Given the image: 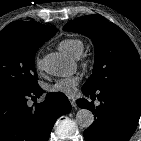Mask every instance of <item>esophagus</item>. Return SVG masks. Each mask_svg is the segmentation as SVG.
Masks as SVG:
<instances>
[{
	"instance_id": "obj_1",
	"label": "esophagus",
	"mask_w": 141,
	"mask_h": 141,
	"mask_svg": "<svg viewBox=\"0 0 141 141\" xmlns=\"http://www.w3.org/2000/svg\"><path fill=\"white\" fill-rule=\"evenodd\" d=\"M69 101H70L72 107L76 108V106H77L76 105V100L73 97H69Z\"/></svg>"
}]
</instances>
